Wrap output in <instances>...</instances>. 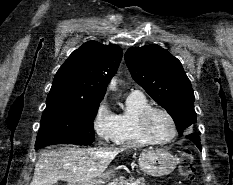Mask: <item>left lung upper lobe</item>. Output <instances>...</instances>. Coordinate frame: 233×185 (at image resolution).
<instances>
[{
	"mask_svg": "<svg viewBox=\"0 0 233 185\" xmlns=\"http://www.w3.org/2000/svg\"><path fill=\"white\" fill-rule=\"evenodd\" d=\"M125 61L133 79L171 115L180 135L196 123L193 89L177 58L152 44L129 48Z\"/></svg>",
	"mask_w": 233,
	"mask_h": 185,
	"instance_id": "5c2ea615",
	"label": "left lung upper lobe"
}]
</instances>
